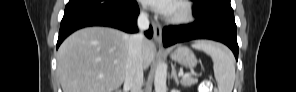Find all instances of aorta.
I'll return each mask as SVG.
<instances>
[{
    "label": "aorta",
    "mask_w": 296,
    "mask_h": 92,
    "mask_svg": "<svg viewBox=\"0 0 296 92\" xmlns=\"http://www.w3.org/2000/svg\"><path fill=\"white\" fill-rule=\"evenodd\" d=\"M166 78H167V66L165 63H159L155 71L154 87L155 92H166Z\"/></svg>",
    "instance_id": "1"
}]
</instances>
